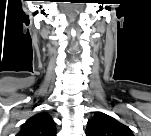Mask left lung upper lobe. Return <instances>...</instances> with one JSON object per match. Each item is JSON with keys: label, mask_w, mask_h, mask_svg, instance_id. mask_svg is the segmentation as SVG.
I'll use <instances>...</instances> for the list:
<instances>
[{"label": "left lung upper lobe", "mask_w": 151, "mask_h": 136, "mask_svg": "<svg viewBox=\"0 0 151 136\" xmlns=\"http://www.w3.org/2000/svg\"><path fill=\"white\" fill-rule=\"evenodd\" d=\"M87 136H133L129 127L113 117L99 113L88 121Z\"/></svg>", "instance_id": "1"}]
</instances>
